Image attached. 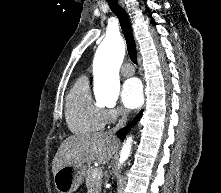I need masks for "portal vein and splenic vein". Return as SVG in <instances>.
Listing matches in <instances>:
<instances>
[{"label":"portal vein and splenic vein","mask_w":221,"mask_h":193,"mask_svg":"<svg viewBox=\"0 0 221 193\" xmlns=\"http://www.w3.org/2000/svg\"><path fill=\"white\" fill-rule=\"evenodd\" d=\"M102 174V169L101 168H96L92 174L93 177H97Z\"/></svg>","instance_id":"obj_1"}]
</instances>
